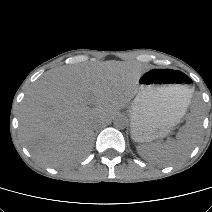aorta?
Masks as SVG:
<instances>
[{
  "mask_svg": "<svg viewBox=\"0 0 212 212\" xmlns=\"http://www.w3.org/2000/svg\"><path fill=\"white\" fill-rule=\"evenodd\" d=\"M113 124L117 129H125L128 125V119L125 116H117Z\"/></svg>",
  "mask_w": 212,
  "mask_h": 212,
  "instance_id": "1",
  "label": "aorta"
}]
</instances>
